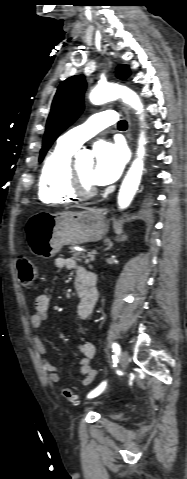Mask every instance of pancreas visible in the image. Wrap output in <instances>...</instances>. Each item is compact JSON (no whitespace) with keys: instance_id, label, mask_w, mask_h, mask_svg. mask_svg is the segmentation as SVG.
<instances>
[{"instance_id":"obj_1","label":"pancreas","mask_w":187,"mask_h":479,"mask_svg":"<svg viewBox=\"0 0 187 479\" xmlns=\"http://www.w3.org/2000/svg\"><path fill=\"white\" fill-rule=\"evenodd\" d=\"M71 250H72L71 252H73V258L76 259L77 261H82V259H85L86 262H90L94 260L93 257H90L89 259H87L81 252H75L73 251L72 248Z\"/></svg>"}]
</instances>
